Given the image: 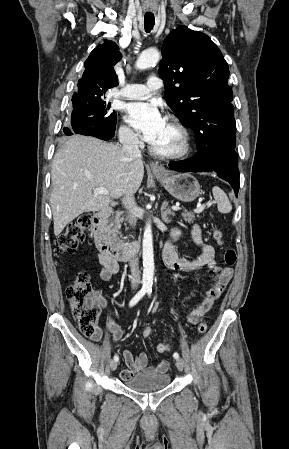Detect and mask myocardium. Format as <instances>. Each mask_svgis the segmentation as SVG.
<instances>
[{
	"label": "myocardium",
	"instance_id": "obj_1",
	"mask_svg": "<svg viewBox=\"0 0 289 449\" xmlns=\"http://www.w3.org/2000/svg\"><path fill=\"white\" fill-rule=\"evenodd\" d=\"M167 123L174 128L180 135V147L173 152H161L155 149L152 145L149 146L150 152L162 159L175 160L187 156L191 151V137L188 129L177 119L169 117Z\"/></svg>",
	"mask_w": 289,
	"mask_h": 449
}]
</instances>
